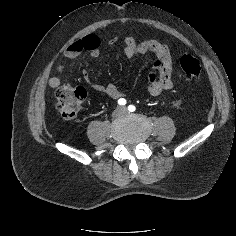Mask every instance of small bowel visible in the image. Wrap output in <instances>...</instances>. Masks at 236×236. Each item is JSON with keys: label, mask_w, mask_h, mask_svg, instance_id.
I'll list each match as a JSON object with an SVG mask.
<instances>
[{"label": "small bowel", "mask_w": 236, "mask_h": 236, "mask_svg": "<svg viewBox=\"0 0 236 236\" xmlns=\"http://www.w3.org/2000/svg\"><path fill=\"white\" fill-rule=\"evenodd\" d=\"M113 42L114 39L111 38L108 44H113ZM100 45L101 38L97 34L90 33L72 42L63 56L65 59L71 60L77 58L83 52H89L92 57L96 58L100 54ZM123 52L128 58L146 53H152L154 55V66L148 76L147 84V90L150 95L158 96L173 87V59L170 48L166 43L152 39L136 43L133 37L127 36L124 40ZM64 69L65 62H61L57 66V74L49 79V85L53 89H57L62 85L60 74ZM83 78L96 92L104 93L112 99H118L123 96V93L116 85L95 82L87 70L83 71Z\"/></svg>", "instance_id": "small-bowel-1"}]
</instances>
